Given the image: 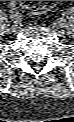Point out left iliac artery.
Here are the masks:
<instances>
[{"label":"left iliac artery","mask_w":74,"mask_h":122,"mask_svg":"<svg viewBox=\"0 0 74 122\" xmlns=\"http://www.w3.org/2000/svg\"><path fill=\"white\" fill-rule=\"evenodd\" d=\"M59 25H60L61 27H63V26L65 25V23H64V22H61V23H59Z\"/></svg>","instance_id":"1"}]
</instances>
